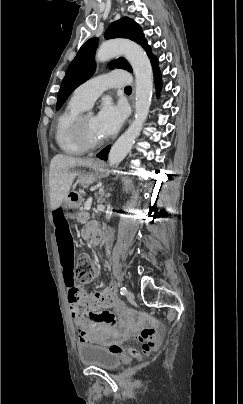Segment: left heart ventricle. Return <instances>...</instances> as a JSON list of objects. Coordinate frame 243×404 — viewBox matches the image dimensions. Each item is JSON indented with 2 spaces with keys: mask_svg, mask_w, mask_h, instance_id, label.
<instances>
[{
  "mask_svg": "<svg viewBox=\"0 0 243 404\" xmlns=\"http://www.w3.org/2000/svg\"><path fill=\"white\" fill-rule=\"evenodd\" d=\"M83 129L85 132V135L93 141H98L101 140L95 130V117L91 114H88L83 123Z\"/></svg>",
  "mask_w": 243,
  "mask_h": 404,
  "instance_id": "left-heart-ventricle-1",
  "label": "left heart ventricle"
}]
</instances>
